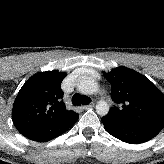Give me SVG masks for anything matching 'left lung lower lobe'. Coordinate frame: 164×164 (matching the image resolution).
Instances as JSON below:
<instances>
[{"label": "left lung lower lobe", "mask_w": 164, "mask_h": 164, "mask_svg": "<svg viewBox=\"0 0 164 164\" xmlns=\"http://www.w3.org/2000/svg\"><path fill=\"white\" fill-rule=\"evenodd\" d=\"M102 122L109 134L123 142L131 144L149 141L159 133L148 128L124 122L110 113L102 118Z\"/></svg>", "instance_id": "1"}]
</instances>
